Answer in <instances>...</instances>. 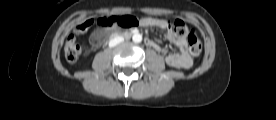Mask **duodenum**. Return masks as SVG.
<instances>
[{
	"instance_id": "410a0bca",
	"label": "duodenum",
	"mask_w": 276,
	"mask_h": 120,
	"mask_svg": "<svg viewBox=\"0 0 276 120\" xmlns=\"http://www.w3.org/2000/svg\"><path fill=\"white\" fill-rule=\"evenodd\" d=\"M133 34H135V32H124V33H119L117 35H114L113 37L119 36V37H122V38H129ZM145 41H146V39H145Z\"/></svg>"
}]
</instances>
